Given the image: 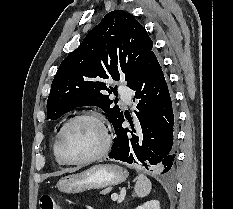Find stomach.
Instances as JSON below:
<instances>
[{"mask_svg":"<svg viewBox=\"0 0 233 209\" xmlns=\"http://www.w3.org/2000/svg\"><path fill=\"white\" fill-rule=\"evenodd\" d=\"M128 172L115 164H97L82 172L67 175L57 183L64 193H79L92 189H103L126 180Z\"/></svg>","mask_w":233,"mask_h":209,"instance_id":"1","label":"stomach"}]
</instances>
